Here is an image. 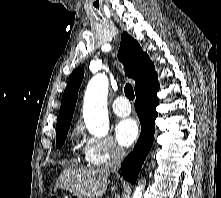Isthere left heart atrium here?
<instances>
[{
  "label": "left heart atrium",
  "mask_w": 221,
  "mask_h": 198,
  "mask_svg": "<svg viewBox=\"0 0 221 198\" xmlns=\"http://www.w3.org/2000/svg\"><path fill=\"white\" fill-rule=\"evenodd\" d=\"M139 134V127L135 120L125 119L120 121L115 128L118 142L123 146H130L135 142Z\"/></svg>",
  "instance_id": "39dd6f15"
}]
</instances>
